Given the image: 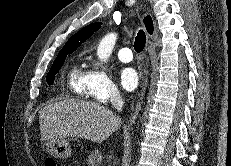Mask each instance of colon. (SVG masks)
<instances>
[{"label":"colon","mask_w":231,"mask_h":166,"mask_svg":"<svg viewBox=\"0 0 231 166\" xmlns=\"http://www.w3.org/2000/svg\"><path fill=\"white\" fill-rule=\"evenodd\" d=\"M45 166H57V164L54 159L47 158L45 161Z\"/></svg>","instance_id":"obj_1"}]
</instances>
